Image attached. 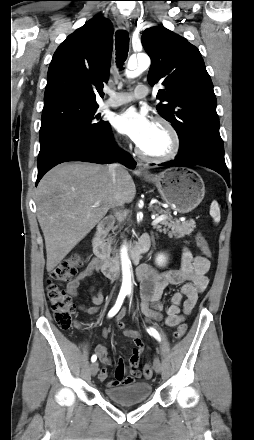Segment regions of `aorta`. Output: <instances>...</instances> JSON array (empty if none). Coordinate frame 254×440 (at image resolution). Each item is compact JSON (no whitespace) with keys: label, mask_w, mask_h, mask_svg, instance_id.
Returning <instances> with one entry per match:
<instances>
[{"label":"aorta","mask_w":254,"mask_h":440,"mask_svg":"<svg viewBox=\"0 0 254 440\" xmlns=\"http://www.w3.org/2000/svg\"><path fill=\"white\" fill-rule=\"evenodd\" d=\"M150 66V58L146 54L137 55L136 63L132 60L128 63V68L133 70L131 72L132 76H137L143 71H145ZM121 264H122V288L123 289H131V272H130V260L127 254L126 249H122L121 251Z\"/></svg>","instance_id":"762f6f07"}]
</instances>
